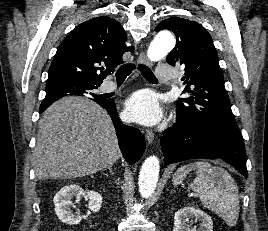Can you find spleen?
<instances>
[{"label":"spleen","mask_w":268,"mask_h":231,"mask_svg":"<svg viewBox=\"0 0 268 231\" xmlns=\"http://www.w3.org/2000/svg\"><path fill=\"white\" fill-rule=\"evenodd\" d=\"M192 170H196V177L189 187L197 193L202 204L218 214L229 226L236 225L240 207L235 180L224 168L197 161L181 166L174 174L173 184H181Z\"/></svg>","instance_id":"spleen-1"}]
</instances>
